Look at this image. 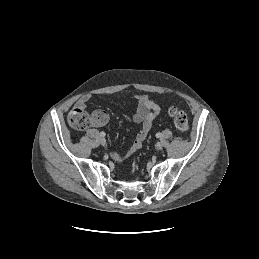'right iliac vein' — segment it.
I'll return each mask as SVG.
<instances>
[{"label": "right iliac vein", "instance_id": "63e3f726", "mask_svg": "<svg viewBox=\"0 0 259 259\" xmlns=\"http://www.w3.org/2000/svg\"><path fill=\"white\" fill-rule=\"evenodd\" d=\"M100 143H101L103 146H105V145H106V139H105L104 137H102V138L100 139Z\"/></svg>", "mask_w": 259, "mask_h": 259}]
</instances>
